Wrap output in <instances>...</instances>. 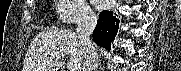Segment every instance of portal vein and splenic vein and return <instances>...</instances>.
<instances>
[{"label": "portal vein and splenic vein", "mask_w": 181, "mask_h": 71, "mask_svg": "<svg viewBox=\"0 0 181 71\" xmlns=\"http://www.w3.org/2000/svg\"><path fill=\"white\" fill-rule=\"evenodd\" d=\"M52 57H58L61 58V56L58 53H52Z\"/></svg>", "instance_id": "obj_1"}]
</instances>
